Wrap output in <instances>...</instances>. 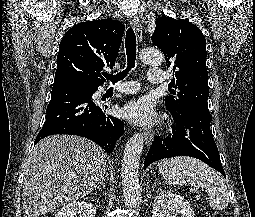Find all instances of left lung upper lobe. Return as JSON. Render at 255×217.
<instances>
[{"instance_id": "5c2ea615", "label": "left lung upper lobe", "mask_w": 255, "mask_h": 217, "mask_svg": "<svg viewBox=\"0 0 255 217\" xmlns=\"http://www.w3.org/2000/svg\"><path fill=\"white\" fill-rule=\"evenodd\" d=\"M152 41L163 51L167 68L175 71L172 86L179 91L165 99L170 113L181 115L193 107L209 111L206 40L202 31L187 20L162 16L156 19Z\"/></svg>"}]
</instances>
